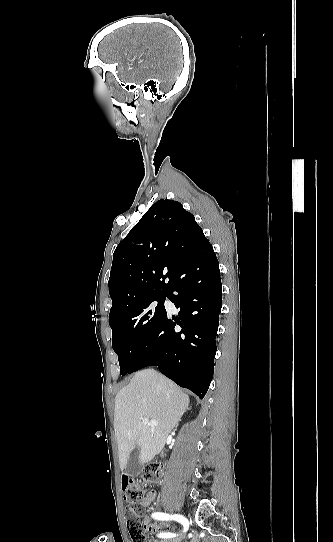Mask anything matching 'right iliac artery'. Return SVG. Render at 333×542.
<instances>
[{
  "instance_id": "1",
  "label": "right iliac artery",
  "mask_w": 333,
  "mask_h": 542,
  "mask_svg": "<svg viewBox=\"0 0 333 542\" xmlns=\"http://www.w3.org/2000/svg\"><path fill=\"white\" fill-rule=\"evenodd\" d=\"M152 517L157 519V520H176L178 522H180L181 524H183L184 526V531H187L188 530V527H189V523H188V520L181 516V515H169V514H165V513H160V512H156V513H153L152 514ZM176 534H172V533H160L159 534V537H162V538H171V537H175Z\"/></svg>"
}]
</instances>
